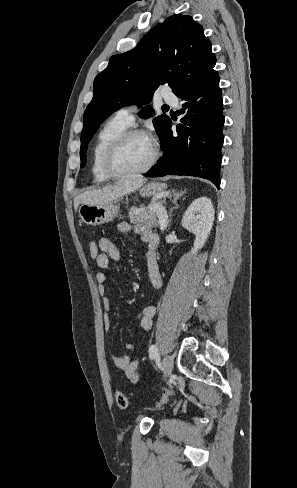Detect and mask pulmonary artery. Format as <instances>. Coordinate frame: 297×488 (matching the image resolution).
<instances>
[{"label": "pulmonary artery", "mask_w": 297, "mask_h": 488, "mask_svg": "<svg viewBox=\"0 0 297 488\" xmlns=\"http://www.w3.org/2000/svg\"><path fill=\"white\" fill-rule=\"evenodd\" d=\"M162 97L165 102L170 103L171 105L177 106L179 104L177 96L172 93H163ZM136 111L137 106L131 105L119 109L116 113V116L130 126L134 123V114Z\"/></svg>", "instance_id": "obj_1"}]
</instances>
